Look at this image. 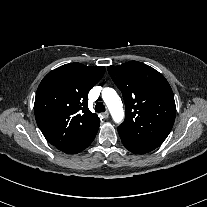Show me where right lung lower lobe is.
<instances>
[{
	"instance_id": "1",
	"label": "right lung lower lobe",
	"mask_w": 207,
	"mask_h": 207,
	"mask_svg": "<svg viewBox=\"0 0 207 207\" xmlns=\"http://www.w3.org/2000/svg\"><path fill=\"white\" fill-rule=\"evenodd\" d=\"M97 131H98V129L93 131L89 135L85 136L83 139H81L73 147H71L67 150H64L63 152L70 153V154H76V153H79V152L83 151L84 149H86L92 143V141L94 140V138L97 134Z\"/></svg>"
}]
</instances>
